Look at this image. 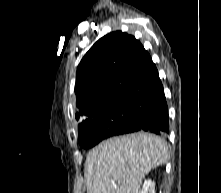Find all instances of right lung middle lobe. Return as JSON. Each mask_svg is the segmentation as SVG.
Wrapping results in <instances>:
<instances>
[{"instance_id": "dd1d6c3e", "label": "right lung middle lobe", "mask_w": 221, "mask_h": 193, "mask_svg": "<svg viewBox=\"0 0 221 193\" xmlns=\"http://www.w3.org/2000/svg\"><path fill=\"white\" fill-rule=\"evenodd\" d=\"M147 110V100L121 99L103 106L78 125V142L90 148L131 125Z\"/></svg>"}]
</instances>
